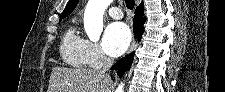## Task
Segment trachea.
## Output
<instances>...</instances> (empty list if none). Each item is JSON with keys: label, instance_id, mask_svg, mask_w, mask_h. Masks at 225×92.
<instances>
[{"label": "trachea", "instance_id": "obj_1", "mask_svg": "<svg viewBox=\"0 0 225 92\" xmlns=\"http://www.w3.org/2000/svg\"><path fill=\"white\" fill-rule=\"evenodd\" d=\"M125 4H126V7L128 9H133V7H134V0H125Z\"/></svg>", "mask_w": 225, "mask_h": 92}]
</instances>
